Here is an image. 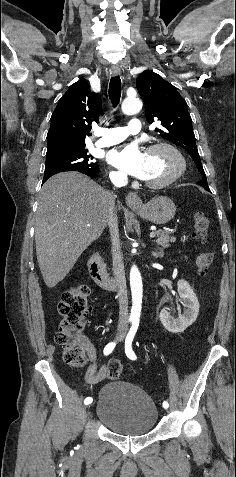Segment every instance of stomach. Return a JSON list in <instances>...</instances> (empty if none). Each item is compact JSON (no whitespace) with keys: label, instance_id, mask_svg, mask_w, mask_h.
<instances>
[{"label":"stomach","instance_id":"1","mask_svg":"<svg viewBox=\"0 0 236 477\" xmlns=\"http://www.w3.org/2000/svg\"><path fill=\"white\" fill-rule=\"evenodd\" d=\"M133 209L146 220L158 225L168 223L176 212L175 204L166 196H156L141 208Z\"/></svg>","mask_w":236,"mask_h":477}]
</instances>
